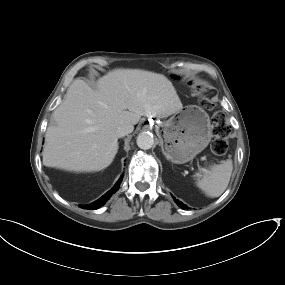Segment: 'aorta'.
Wrapping results in <instances>:
<instances>
[{"label":"aorta","mask_w":285,"mask_h":285,"mask_svg":"<svg viewBox=\"0 0 285 285\" xmlns=\"http://www.w3.org/2000/svg\"><path fill=\"white\" fill-rule=\"evenodd\" d=\"M136 143L140 149L148 150L154 145V137L149 132H142L138 135Z\"/></svg>","instance_id":"aorta-1"}]
</instances>
